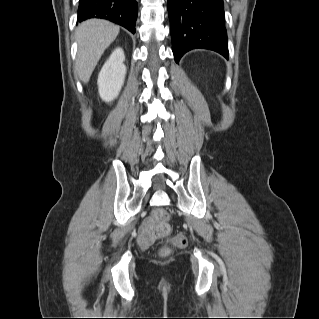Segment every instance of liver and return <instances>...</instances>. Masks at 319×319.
Listing matches in <instances>:
<instances>
[{
  "label": "liver",
  "mask_w": 319,
  "mask_h": 319,
  "mask_svg": "<svg viewBox=\"0 0 319 319\" xmlns=\"http://www.w3.org/2000/svg\"><path fill=\"white\" fill-rule=\"evenodd\" d=\"M119 31V26L102 19H90L78 26L76 71L83 83L89 81L99 59L116 39Z\"/></svg>",
  "instance_id": "1"
}]
</instances>
